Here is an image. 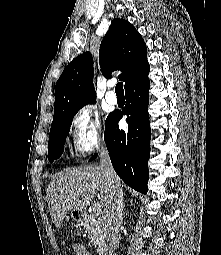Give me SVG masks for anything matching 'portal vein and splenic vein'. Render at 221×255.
Returning <instances> with one entry per match:
<instances>
[{"instance_id":"18ae733b","label":"portal vein and splenic vein","mask_w":221,"mask_h":255,"mask_svg":"<svg viewBox=\"0 0 221 255\" xmlns=\"http://www.w3.org/2000/svg\"><path fill=\"white\" fill-rule=\"evenodd\" d=\"M94 210H95L96 212H99V211L101 210V205H100V203H96V204H95Z\"/></svg>"}]
</instances>
